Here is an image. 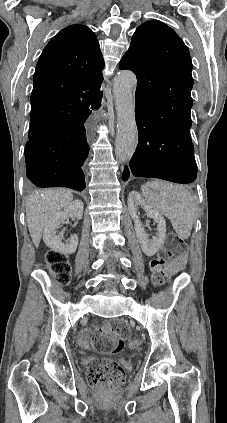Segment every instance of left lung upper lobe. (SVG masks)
Masks as SVG:
<instances>
[{
  "mask_svg": "<svg viewBox=\"0 0 227 423\" xmlns=\"http://www.w3.org/2000/svg\"><path fill=\"white\" fill-rule=\"evenodd\" d=\"M119 65L137 76L135 108L190 112L193 86L190 53L166 24L152 20L139 26Z\"/></svg>",
  "mask_w": 227,
  "mask_h": 423,
  "instance_id": "obj_1",
  "label": "left lung upper lobe"
}]
</instances>
